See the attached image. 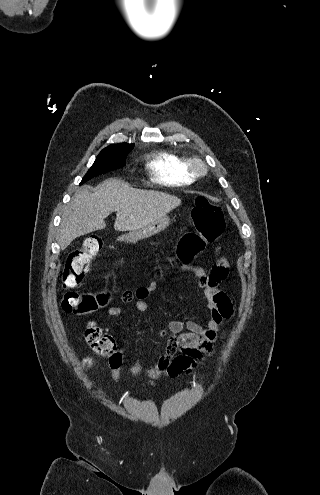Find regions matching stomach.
<instances>
[{"label":"stomach","mask_w":320,"mask_h":495,"mask_svg":"<svg viewBox=\"0 0 320 495\" xmlns=\"http://www.w3.org/2000/svg\"><path fill=\"white\" fill-rule=\"evenodd\" d=\"M169 223V217L167 215H164L163 217L144 227L122 234L118 237V241L136 243L138 240L145 239L152 235L160 233L169 226Z\"/></svg>","instance_id":"stomach-1"}]
</instances>
